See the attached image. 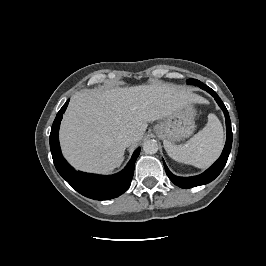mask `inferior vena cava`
I'll return each mask as SVG.
<instances>
[{
	"mask_svg": "<svg viewBox=\"0 0 266 266\" xmlns=\"http://www.w3.org/2000/svg\"><path fill=\"white\" fill-rule=\"evenodd\" d=\"M121 141L126 146H129L132 143V135L129 133H123L121 134Z\"/></svg>",
	"mask_w": 266,
	"mask_h": 266,
	"instance_id": "1",
	"label": "inferior vena cava"
}]
</instances>
